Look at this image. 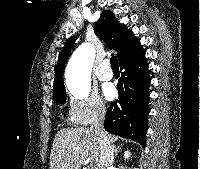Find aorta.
Returning <instances> with one entry per match:
<instances>
[{"mask_svg":"<svg viewBox=\"0 0 200 169\" xmlns=\"http://www.w3.org/2000/svg\"><path fill=\"white\" fill-rule=\"evenodd\" d=\"M94 59L95 48L90 43L80 45L72 54L66 68V83L74 96L83 98L89 94Z\"/></svg>","mask_w":200,"mask_h":169,"instance_id":"1","label":"aorta"}]
</instances>
